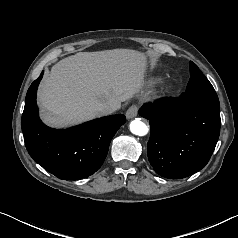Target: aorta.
<instances>
[{"label":"aorta","mask_w":238,"mask_h":238,"mask_svg":"<svg viewBox=\"0 0 238 238\" xmlns=\"http://www.w3.org/2000/svg\"><path fill=\"white\" fill-rule=\"evenodd\" d=\"M130 131L138 136H144L148 133V126L141 121V119L136 118L130 123Z\"/></svg>","instance_id":"aorta-1"}]
</instances>
